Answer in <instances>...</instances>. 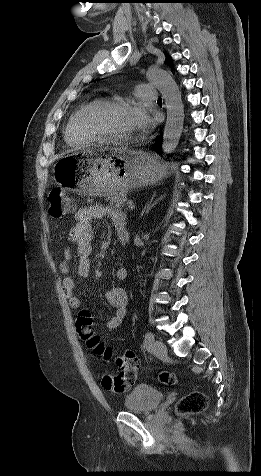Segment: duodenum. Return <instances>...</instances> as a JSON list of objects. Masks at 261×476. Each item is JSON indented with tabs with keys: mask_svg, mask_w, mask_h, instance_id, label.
Returning a JSON list of instances; mask_svg holds the SVG:
<instances>
[{
	"mask_svg": "<svg viewBox=\"0 0 261 476\" xmlns=\"http://www.w3.org/2000/svg\"><path fill=\"white\" fill-rule=\"evenodd\" d=\"M119 236H120V238L124 241V239H125V233H124V232H120V233H119Z\"/></svg>",
	"mask_w": 261,
	"mask_h": 476,
	"instance_id": "duodenum-1",
	"label": "duodenum"
}]
</instances>
